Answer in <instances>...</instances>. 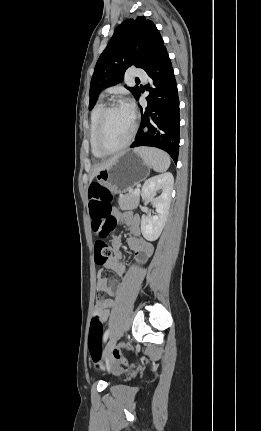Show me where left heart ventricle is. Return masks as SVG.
<instances>
[{
    "instance_id": "b2bd125f",
    "label": "left heart ventricle",
    "mask_w": 261,
    "mask_h": 431,
    "mask_svg": "<svg viewBox=\"0 0 261 431\" xmlns=\"http://www.w3.org/2000/svg\"><path fill=\"white\" fill-rule=\"evenodd\" d=\"M132 112L124 105L112 109L105 118L102 143L108 149L122 145L132 129Z\"/></svg>"
}]
</instances>
